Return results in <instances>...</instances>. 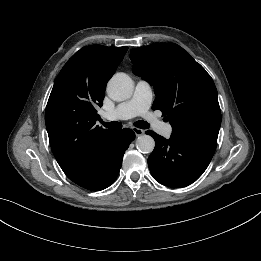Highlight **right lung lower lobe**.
<instances>
[{
  "mask_svg": "<svg viewBox=\"0 0 261 261\" xmlns=\"http://www.w3.org/2000/svg\"><path fill=\"white\" fill-rule=\"evenodd\" d=\"M134 138L135 134L131 129L114 131L104 142L98 158L92 165L70 180L91 191L107 188L117 178L123 155Z\"/></svg>",
  "mask_w": 261,
  "mask_h": 261,
  "instance_id": "98d812e1",
  "label": "right lung lower lobe"
}]
</instances>
